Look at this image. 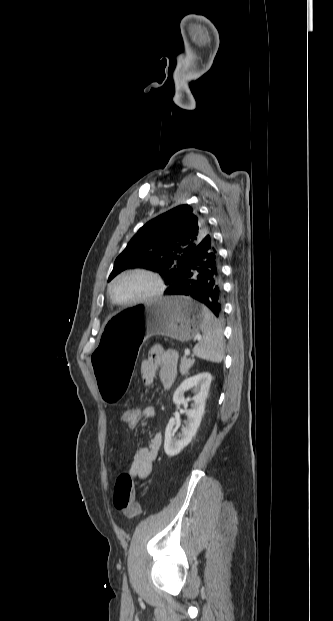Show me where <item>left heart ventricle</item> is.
I'll use <instances>...</instances> for the list:
<instances>
[{
    "mask_svg": "<svg viewBox=\"0 0 333 621\" xmlns=\"http://www.w3.org/2000/svg\"><path fill=\"white\" fill-rule=\"evenodd\" d=\"M154 287L153 280L147 276L128 275L114 284L113 294L119 301H130L149 294Z\"/></svg>",
    "mask_w": 333,
    "mask_h": 621,
    "instance_id": "obj_1",
    "label": "left heart ventricle"
}]
</instances>
